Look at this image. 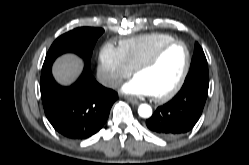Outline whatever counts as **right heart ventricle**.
I'll use <instances>...</instances> for the list:
<instances>
[{"instance_id": "right-heart-ventricle-1", "label": "right heart ventricle", "mask_w": 249, "mask_h": 165, "mask_svg": "<svg viewBox=\"0 0 249 165\" xmlns=\"http://www.w3.org/2000/svg\"><path fill=\"white\" fill-rule=\"evenodd\" d=\"M174 40V37L160 32L135 36L119 42V49L126 64L134 70L137 65L152 56L165 43Z\"/></svg>"}]
</instances>
